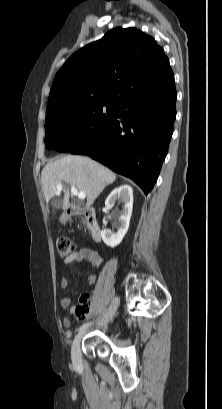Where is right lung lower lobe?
Masks as SVG:
<instances>
[{
    "label": "right lung lower lobe",
    "mask_w": 222,
    "mask_h": 409,
    "mask_svg": "<svg viewBox=\"0 0 222 409\" xmlns=\"http://www.w3.org/2000/svg\"><path fill=\"white\" fill-rule=\"evenodd\" d=\"M165 91L128 99L118 104L106 139L86 155L131 178L147 195L167 155L176 117L173 73L161 76Z\"/></svg>",
    "instance_id": "1"
}]
</instances>
